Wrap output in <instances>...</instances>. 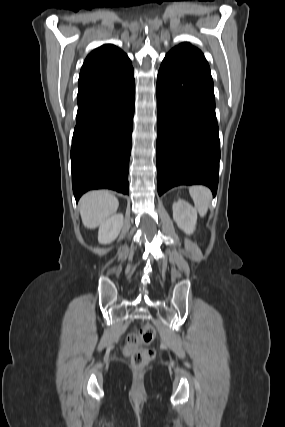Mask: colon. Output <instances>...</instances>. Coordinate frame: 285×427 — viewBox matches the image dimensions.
Returning a JSON list of instances; mask_svg holds the SVG:
<instances>
[{
	"mask_svg": "<svg viewBox=\"0 0 285 427\" xmlns=\"http://www.w3.org/2000/svg\"><path fill=\"white\" fill-rule=\"evenodd\" d=\"M155 338L154 328L146 324L127 337V351L130 353L132 365L140 369L155 357V351L150 348Z\"/></svg>",
	"mask_w": 285,
	"mask_h": 427,
	"instance_id": "colon-1",
	"label": "colon"
}]
</instances>
